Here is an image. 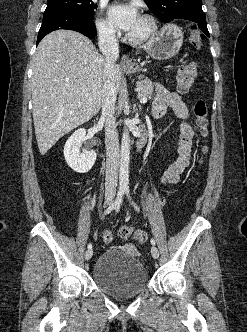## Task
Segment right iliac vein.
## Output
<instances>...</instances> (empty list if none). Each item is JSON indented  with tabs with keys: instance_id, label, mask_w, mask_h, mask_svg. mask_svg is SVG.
I'll return each instance as SVG.
<instances>
[{
	"instance_id": "1",
	"label": "right iliac vein",
	"mask_w": 247,
	"mask_h": 332,
	"mask_svg": "<svg viewBox=\"0 0 247 332\" xmlns=\"http://www.w3.org/2000/svg\"><path fill=\"white\" fill-rule=\"evenodd\" d=\"M108 204H111V201H108ZM92 255H93V250L92 249L86 251L85 252V259L86 260H90L91 257H92Z\"/></svg>"
}]
</instances>
